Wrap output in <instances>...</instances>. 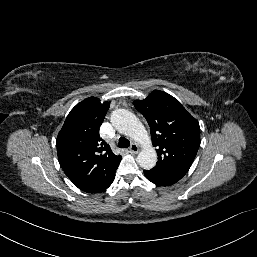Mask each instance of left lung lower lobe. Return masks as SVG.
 <instances>
[{
	"mask_svg": "<svg viewBox=\"0 0 257 257\" xmlns=\"http://www.w3.org/2000/svg\"><path fill=\"white\" fill-rule=\"evenodd\" d=\"M144 174L149 181L159 186H170L177 182L175 179L168 178L152 170H144Z\"/></svg>",
	"mask_w": 257,
	"mask_h": 257,
	"instance_id": "obj_1",
	"label": "left lung lower lobe"
}]
</instances>
